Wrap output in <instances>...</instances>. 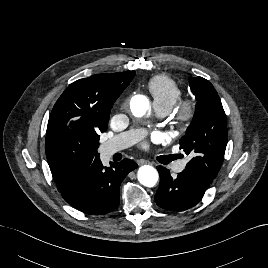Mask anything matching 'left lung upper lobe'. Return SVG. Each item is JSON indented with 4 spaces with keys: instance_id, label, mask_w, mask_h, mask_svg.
<instances>
[{
    "instance_id": "left-lung-upper-lobe-1",
    "label": "left lung upper lobe",
    "mask_w": 268,
    "mask_h": 268,
    "mask_svg": "<svg viewBox=\"0 0 268 268\" xmlns=\"http://www.w3.org/2000/svg\"><path fill=\"white\" fill-rule=\"evenodd\" d=\"M190 88L197 99L191 125L179 141L180 149L193 158L185 170L212 183L222 165L227 145L226 115L213 85L202 77H191Z\"/></svg>"
}]
</instances>
